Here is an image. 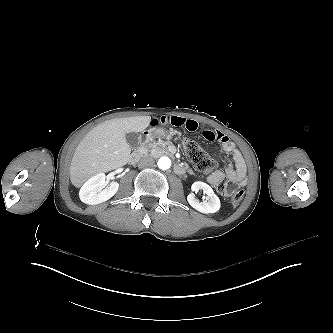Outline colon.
<instances>
[{
    "label": "colon",
    "instance_id": "colon-1",
    "mask_svg": "<svg viewBox=\"0 0 333 333\" xmlns=\"http://www.w3.org/2000/svg\"><path fill=\"white\" fill-rule=\"evenodd\" d=\"M182 147L196 169L203 173H212L216 170V162L201 148L196 140L185 139L182 142ZM217 189L234 206L238 205L243 199L244 191L238 188L233 182L221 180L217 184Z\"/></svg>",
    "mask_w": 333,
    "mask_h": 333
}]
</instances>
